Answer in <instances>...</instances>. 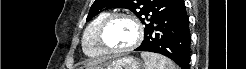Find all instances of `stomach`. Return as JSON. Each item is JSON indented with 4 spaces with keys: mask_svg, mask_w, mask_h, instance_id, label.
Wrapping results in <instances>:
<instances>
[{
    "mask_svg": "<svg viewBox=\"0 0 246 69\" xmlns=\"http://www.w3.org/2000/svg\"><path fill=\"white\" fill-rule=\"evenodd\" d=\"M143 65L133 57H120L106 63H92L79 69H143Z\"/></svg>",
    "mask_w": 246,
    "mask_h": 69,
    "instance_id": "obj_1",
    "label": "stomach"
}]
</instances>
